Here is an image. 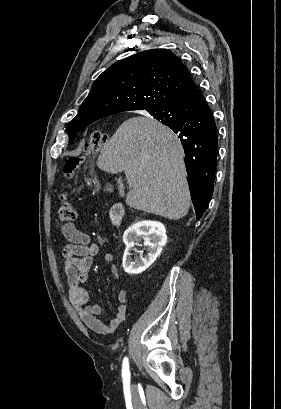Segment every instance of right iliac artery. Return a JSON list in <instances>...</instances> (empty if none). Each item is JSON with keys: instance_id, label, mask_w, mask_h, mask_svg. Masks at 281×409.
Segmentation results:
<instances>
[{"instance_id": "right-iliac-artery-1", "label": "right iliac artery", "mask_w": 281, "mask_h": 409, "mask_svg": "<svg viewBox=\"0 0 281 409\" xmlns=\"http://www.w3.org/2000/svg\"><path fill=\"white\" fill-rule=\"evenodd\" d=\"M129 365H128V359L125 358L123 361V370H122V375L124 378H128L129 377Z\"/></svg>"}]
</instances>
